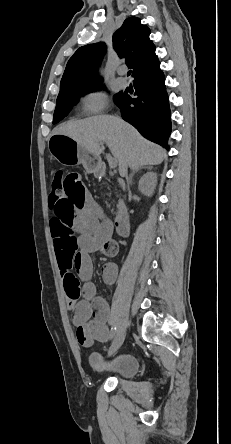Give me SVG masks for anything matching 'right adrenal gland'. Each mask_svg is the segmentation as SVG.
Segmentation results:
<instances>
[{"label": "right adrenal gland", "mask_w": 231, "mask_h": 444, "mask_svg": "<svg viewBox=\"0 0 231 444\" xmlns=\"http://www.w3.org/2000/svg\"><path fill=\"white\" fill-rule=\"evenodd\" d=\"M141 169H148V170H151L152 167H151V166H146V167H141V168H138V169L133 170V172L130 174V177H129V179H128V183H129L130 185H132V178H133L134 174L137 173L138 171H140Z\"/></svg>", "instance_id": "obj_1"}]
</instances>
